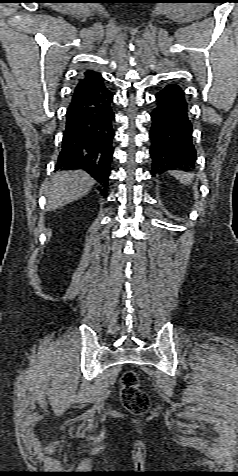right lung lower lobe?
<instances>
[{"instance_id":"98d812e1","label":"right lung lower lobe","mask_w":238,"mask_h":476,"mask_svg":"<svg viewBox=\"0 0 238 476\" xmlns=\"http://www.w3.org/2000/svg\"><path fill=\"white\" fill-rule=\"evenodd\" d=\"M113 95L98 77L95 84L71 100L56 170L82 169L102 186L106 194L110 175L114 112Z\"/></svg>"}]
</instances>
